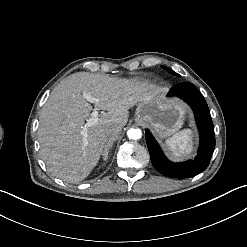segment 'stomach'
<instances>
[{"label": "stomach", "instance_id": "stomach-1", "mask_svg": "<svg viewBox=\"0 0 247 247\" xmlns=\"http://www.w3.org/2000/svg\"><path fill=\"white\" fill-rule=\"evenodd\" d=\"M189 113L187 106L176 98H166V89H158L138 104L137 121L147 123L160 137L175 134Z\"/></svg>", "mask_w": 247, "mask_h": 247}]
</instances>
